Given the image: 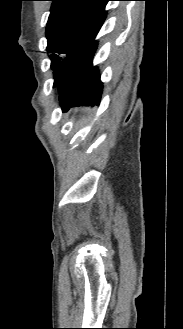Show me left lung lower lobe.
<instances>
[{"instance_id":"1","label":"left lung lower lobe","mask_w":183,"mask_h":329,"mask_svg":"<svg viewBox=\"0 0 183 329\" xmlns=\"http://www.w3.org/2000/svg\"><path fill=\"white\" fill-rule=\"evenodd\" d=\"M105 19L106 17L59 66L54 86H58L63 111L74 106L98 105L100 102L103 83L98 67L93 66V56L98 46L96 37Z\"/></svg>"}]
</instances>
